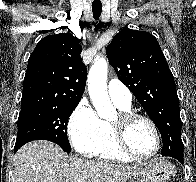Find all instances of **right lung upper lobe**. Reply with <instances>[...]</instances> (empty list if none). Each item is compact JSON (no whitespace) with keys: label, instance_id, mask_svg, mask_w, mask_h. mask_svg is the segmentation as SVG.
Instances as JSON below:
<instances>
[{"label":"right lung upper lobe","instance_id":"cb5924a9","mask_svg":"<svg viewBox=\"0 0 196 182\" xmlns=\"http://www.w3.org/2000/svg\"><path fill=\"white\" fill-rule=\"evenodd\" d=\"M81 52V45L70 33L49 35L40 40L29 57L21 107L79 103L87 78Z\"/></svg>","mask_w":196,"mask_h":182}]
</instances>
